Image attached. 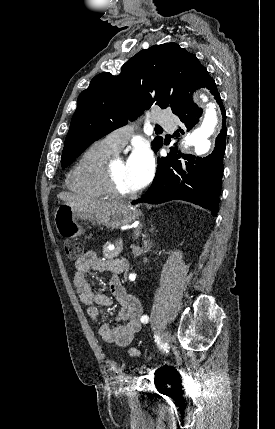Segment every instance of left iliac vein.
Masks as SVG:
<instances>
[{"label":"left iliac vein","mask_w":275,"mask_h":429,"mask_svg":"<svg viewBox=\"0 0 275 429\" xmlns=\"http://www.w3.org/2000/svg\"><path fill=\"white\" fill-rule=\"evenodd\" d=\"M172 340V335L169 331H164L161 335V346L163 349H167Z\"/></svg>","instance_id":"4c4485c4"}]
</instances>
